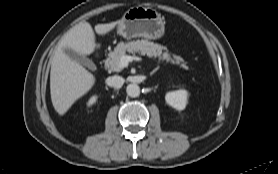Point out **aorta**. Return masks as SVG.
Listing matches in <instances>:
<instances>
[{"label": "aorta", "mask_w": 278, "mask_h": 174, "mask_svg": "<svg viewBox=\"0 0 278 174\" xmlns=\"http://www.w3.org/2000/svg\"><path fill=\"white\" fill-rule=\"evenodd\" d=\"M126 92L130 97H138L140 95V87L136 83L129 84Z\"/></svg>", "instance_id": "obj_1"}]
</instances>
